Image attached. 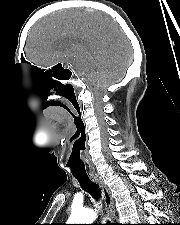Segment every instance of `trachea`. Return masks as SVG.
<instances>
[{"instance_id":"1","label":"trachea","mask_w":180,"mask_h":225,"mask_svg":"<svg viewBox=\"0 0 180 225\" xmlns=\"http://www.w3.org/2000/svg\"><path fill=\"white\" fill-rule=\"evenodd\" d=\"M78 180L81 188L88 192L94 199L98 200L101 196V191L99 185L93 182L87 175L84 176H75ZM110 225V224H106Z\"/></svg>"}]
</instances>
